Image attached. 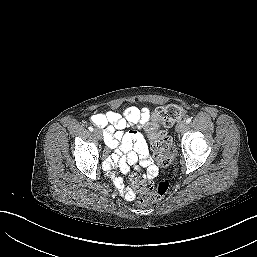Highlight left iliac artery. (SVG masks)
<instances>
[{
	"instance_id": "1",
	"label": "left iliac artery",
	"mask_w": 257,
	"mask_h": 257,
	"mask_svg": "<svg viewBox=\"0 0 257 257\" xmlns=\"http://www.w3.org/2000/svg\"><path fill=\"white\" fill-rule=\"evenodd\" d=\"M191 122V118L186 119V123L189 124Z\"/></svg>"
}]
</instances>
